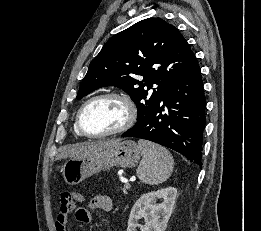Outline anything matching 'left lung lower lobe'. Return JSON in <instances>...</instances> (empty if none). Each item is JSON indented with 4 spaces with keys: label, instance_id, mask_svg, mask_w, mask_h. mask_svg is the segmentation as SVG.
I'll list each match as a JSON object with an SVG mask.
<instances>
[{
    "label": "left lung lower lobe",
    "instance_id": "0a47b994",
    "mask_svg": "<svg viewBox=\"0 0 261 231\" xmlns=\"http://www.w3.org/2000/svg\"><path fill=\"white\" fill-rule=\"evenodd\" d=\"M165 107L167 113L162 114ZM205 111L203 81L196 60L187 73L168 85L162 99L122 137L150 140L201 166Z\"/></svg>",
    "mask_w": 261,
    "mask_h": 231
}]
</instances>
